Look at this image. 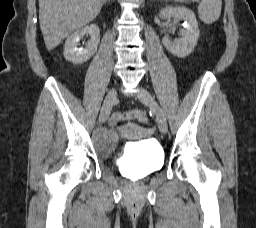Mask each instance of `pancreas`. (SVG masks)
<instances>
[{
  "instance_id": "cf45deb5",
  "label": "pancreas",
  "mask_w": 256,
  "mask_h": 228,
  "mask_svg": "<svg viewBox=\"0 0 256 228\" xmlns=\"http://www.w3.org/2000/svg\"><path fill=\"white\" fill-rule=\"evenodd\" d=\"M176 1H180V2H182V3H187V2H189L190 0H176ZM192 1H194V0H192Z\"/></svg>"
}]
</instances>
